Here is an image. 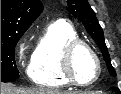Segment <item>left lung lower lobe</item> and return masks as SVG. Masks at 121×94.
Instances as JSON below:
<instances>
[{"mask_svg": "<svg viewBox=\"0 0 121 94\" xmlns=\"http://www.w3.org/2000/svg\"><path fill=\"white\" fill-rule=\"evenodd\" d=\"M111 89L117 91V93L120 94V91L118 88H111Z\"/></svg>", "mask_w": 121, "mask_h": 94, "instance_id": "left-lung-lower-lobe-1", "label": "left lung lower lobe"}]
</instances>
